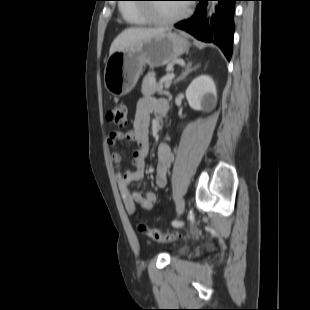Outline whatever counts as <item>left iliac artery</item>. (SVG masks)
<instances>
[{
  "mask_svg": "<svg viewBox=\"0 0 310 310\" xmlns=\"http://www.w3.org/2000/svg\"><path fill=\"white\" fill-rule=\"evenodd\" d=\"M172 225H173V226H177V227H181V226L184 225V222H183V221L174 220V221L172 222Z\"/></svg>",
  "mask_w": 310,
  "mask_h": 310,
  "instance_id": "left-iliac-artery-1",
  "label": "left iliac artery"
}]
</instances>
